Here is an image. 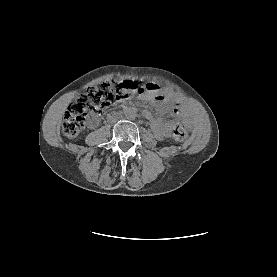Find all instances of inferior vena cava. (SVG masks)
Returning <instances> with one entry per match:
<instances>
[{"label": "inferior vena cava", "instance_id": "1", "mask_svg": "<svg viewBox=\"0 0 277 277\" xmlns=\"http://www.w3.org/2000/svg\"><path fill=\"white\" fill-rule=\"evenodd\" d=\"M121 118V114L118 112H113L108 114L107 119L109 122H116L117 120H119Z\"/></svg>", "mask_w": 277, "mask_h": 277}]
</instances>
